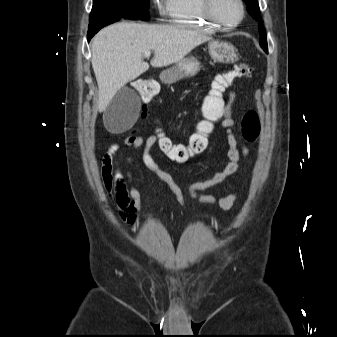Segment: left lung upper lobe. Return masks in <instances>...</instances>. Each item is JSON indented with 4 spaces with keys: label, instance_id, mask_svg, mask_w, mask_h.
I'll list each match as a JSON object with an SVG mask.
<instances>
[{
    "label": "left lung upper lobe",
    "instance_id": "5c2ea615",
    "mask_svg": "<svg viewBox=\"0 0 337 337\" xmlns=\"http://www.w3.org/2000/svg\"><path fill=\"white\" fill-rule=\"evenodd\" d=\"M246 3V8L249 12V14L256 20L259 21V32L261 34L260 39V46L264 49V51L267 53V37L265 33V28L262 25V19L260 16V9L257 0H243Z\"/></svg>",
    "mask_w": 337,
    "mask_h": 337
}]
</instances>
